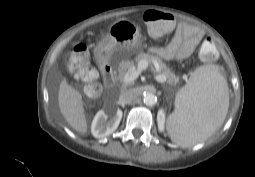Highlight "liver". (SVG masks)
Returning a JSON list of instances; mask_svg holds the SVG:
<instances>
[{"mask_svg":"<svg viewBox=\"0 0 255 177\" xmlns=\"http://www.w3.org/2000/svg\"><path fill=\"white\" fill-rule=\"evenodd\" d=\"M58 103L67 123L80 133L87 132V121L81 94L63 79L59 85Z\"/></svg>","mask_w":255,"mask_h":177,"instance_id":"1","label":"liver"}]
</instances>
